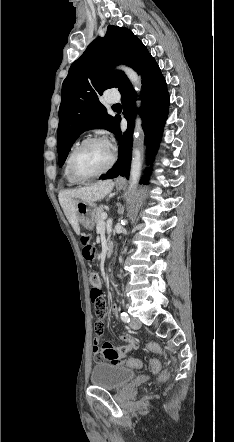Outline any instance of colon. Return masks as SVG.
<instances>
[{"label": "colon", "instance_id": "obj_1", "mask_svg": "<svg viewBox=\"0 0 234 442\" xmlns=\"http://www.w3.org/2000/svg\"><path fill=\"white\" fill-rule=\"evenodd\" d=\"M82 242H83V245H84L83 246V251H82L84 258L87 261H90V262L94 261L95 258H96V249H95V247L93 245H91L90 243H88V237H86V236L82 237ZM98 282H99L98 274L97 273H92L90 275V284L92 286V289H91V301H92V305L94 307L95 313L99 317V315H101V314L105 315L107 306H106V301H105V299L103 297L102 291L99 288L96 287ZM134 342H135V340H134ZM148 348L151 351H153V352H155L157 354H160V355L164 354L163 349L158 344H156V343H150L148 345ZM134 350H136V349H134ZM128 362L129 363L126 365V368L128 370H136L137 367H139L141 365L140 364V359L137 356L130 357L128 359ZM147 362H148L149 369L152 372L155 373V372L159 371L160 363H159L158 357H156V356L149 357L147 359ZM157 382L159 384H166L168 382V377L166 376V374L165 375H159L157 377Z\"/></svg>", "mask_w": 234, "mask_h": 442}]
</instances>
